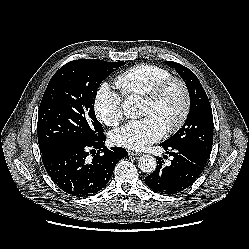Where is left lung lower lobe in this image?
<instances>
[{
  "mask_svg": "<svg viewBox=\"0 0 249 249\" xmlns=\"http://www.w3.org/2000/svg\"><path fill=\"white\" fill-rule=\"evenodd\" d=\"M160 146L172 157L171 164L164 166L162 158H157V168L145 178V183L157 193L166 195L181 193L198 178L208 158L192 148L163 142Z\"/></svg>",
  "mask_w": 249,
  "mask_h": 249,
  "instance_id": "1",
  "label": "left lung lower lobe"
}]
</instances>
